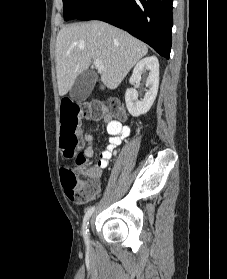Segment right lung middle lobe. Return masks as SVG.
Here are the masks:
<instances>
[{"instance_id": "right-lung-middle-lobe-1", "label": "right lung middle lobe", "mask_w": 227, "mask_h": 279, "mask_svg": "<svg viewBox=\"0 0 227 279\" xmlns=\"http://www.w3.org/2000/svg\"><path fill=\"white\" fill-rule=\"evenodd\" d=\"M93 0H63V15L65 20L80 16Z\"/></svg>"}]
</instances>
